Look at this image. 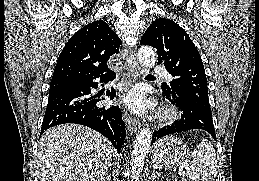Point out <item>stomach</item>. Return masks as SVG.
<instances>
[{"instance_id": "stomach-1", "label": "stomach", "mask_w": 259, "mask_h": 181, "mask_svg": "<svg viewBox=\"0 0 259 181\" xmlns=\"http://www.w3.org/2000/svg\"><path fill=\"white\" fill-rule=\"evenodd\" d=\"M188 148L176 137L167 136L160 139L152 150V162L161 169H173L187 157Z\"/></svg>"}]
</instances>
